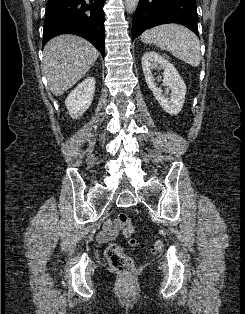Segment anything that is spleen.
<instances>
[{"label": "spleen", "instance_id": "1", "mask_svg": "<svg viewBox=\"0 0 245 314\" xmlns=\"http://www.w3.org/2000/svg\"><path fill=\"white\" fill-rule=\"evenodd\" d=\"M144 43H153L169 51L186 64L197 67L201 61L198 37L187 28L177 24H164L146 30L141 35Z\"/></svg>", "mask_w": 245, "mask_h": 314}]
</instances>
